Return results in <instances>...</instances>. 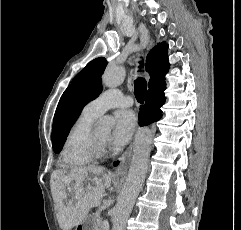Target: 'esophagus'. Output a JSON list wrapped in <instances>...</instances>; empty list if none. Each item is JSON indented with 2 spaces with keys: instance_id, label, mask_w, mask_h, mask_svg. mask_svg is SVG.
Returning a JSON list of instances; mask_svg holds the SVG:
<instances>
[{
  "instance_id": "1",
  "label": "esophagus",
  "mask_w": 241,
  "mask_h": 230,
  "mask_svg": "<svg viewBox=\"0 0 241 230\" xmlns=\"http://www.w3.org/2000/svg\"><path fill=\"white\" fill-rule=\"evenodd\" d=\"M132 148L133 145L131 143L130 146L126 149V151L122 154L120 158V163L116 170L117 174H122L127 170L132 155Z\"/></svg>"
}]
</instances>
